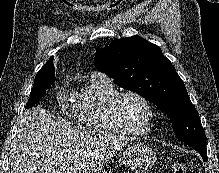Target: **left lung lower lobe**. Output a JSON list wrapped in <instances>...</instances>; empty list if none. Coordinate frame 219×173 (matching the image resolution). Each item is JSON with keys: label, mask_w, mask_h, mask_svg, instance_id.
<instances>
[{"label": "left lung lower lobe", "mask_w": 219, "mask_h": 173, "mask_svg": "<svg viewBox=\"0 0 219 173\" xmlns=\"http://www.w3.org/2000/svg\"><path fill=\"white\" fill-rule=\"evenodd\" d=\"M195 150L200 153L203 160L207 161V150H201V149H195Z\"/></svg>", "instance_id": "obj_1"}]
</instances>
